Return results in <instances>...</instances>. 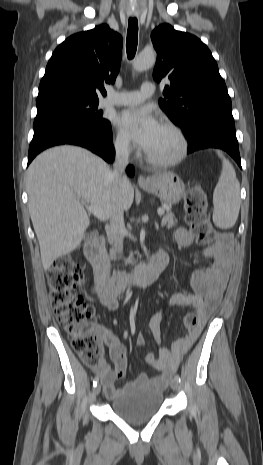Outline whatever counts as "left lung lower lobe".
<instances>
[{
    "instance_id": "left-lung-lower-lobe-1",
    "label": "left lung lower lobe",
    "mask_w": 263,
    "mask_h": 465,
    "mask_svg": "<svg viewBox=\"0 0 263 465\" xmlns=\"http://www.w3.org/2000/svg\"><path fill=\"white\" fill-rule=\"evenodd\" d=\"M186 138L189 142L187 153L206 148L222 149L231 155L241 167L234 119L216 114L211 115Z\"/></svg>"
}]
</instances>
